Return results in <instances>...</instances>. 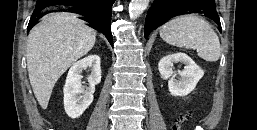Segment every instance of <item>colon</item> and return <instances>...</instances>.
<instances>
[{
    "mask_svg": "<svg viewBox=\"0 0 257 130\" xmlns=\"http://www.w3.org/2000/svg\"><path fill=\"white\" fill-rule=\"evenodd\" d=\"M190 118L189 114L180 116L173 125V130H182L183 124Z\"/></svg>",
    "mask_w": 257,
    "mask_h": 130,
    "instance_id": "1",
    "label": "colon"
}]
</instances>
